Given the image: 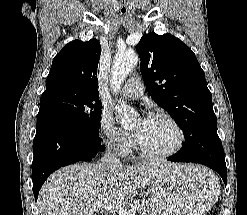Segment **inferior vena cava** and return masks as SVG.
Returning <instances> with one entry per match:
<instances>
[{
    "mask_svg": "<svg viewBox=\"0 0 247 215\" xmlns=\"http://www.w3.org/2000/svg\"><path fill=\"white\" fill-rule=\"evenodd\" d=\"M101 163L107 168H117L122 166L120 159L111 151L110 147L105 150Z\"/></svg>",
    "mask_w": 247,
    "mask_h": 215,
    "instance_id": "1",
    "label": "inferior vena cava"
}]
</instances>
